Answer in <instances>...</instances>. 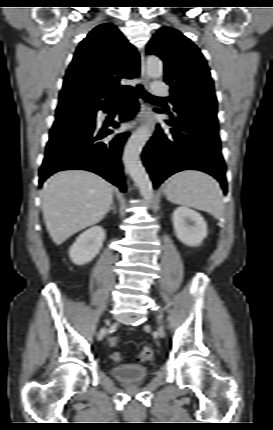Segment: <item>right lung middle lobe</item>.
Here are the masks:
<instances>
[{"label":"right lung middle lobe","instance_id":"right-lung-middle-lobe-1","mask_svg":"<svg viewBox=\"0 0 273 430\" xmlns=\"http://www.w3.org/2000/svg\"><path fill=\"white\" fill-rule=\"evenodd\" d=\"M56 121L50 131V139L81 131L94 124V110L81 100H72L57 107Z\"/></svg>","mask_w":273,"mask_h":430}]
</instances>
